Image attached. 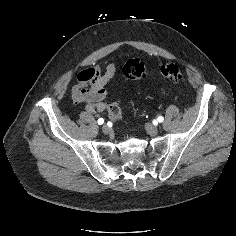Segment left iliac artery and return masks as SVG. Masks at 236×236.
Returning a JSON list of instances; mask_svg holds the SVG:
<instances>
[{
    "mask_svg": "<svg viewBox=\"0 0 236 236\" xmlns=\"http://www.w3.org/2000/svg\"><path fill=\"white\" fill-rule=\"evenodd\" d=\"M163 120H164V118H163L162 116H159V117L157 118V121H158V122H163Z\"/></svg>",
    "mask_w": 236,
    "mask_h": 236,
    "instance_id": "obj_1",
    "label": "left iliac artery"
}]
</instances>
